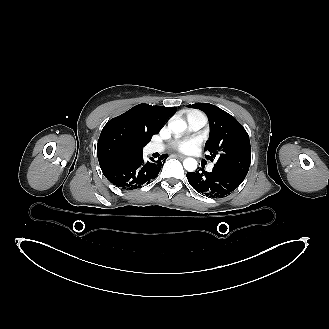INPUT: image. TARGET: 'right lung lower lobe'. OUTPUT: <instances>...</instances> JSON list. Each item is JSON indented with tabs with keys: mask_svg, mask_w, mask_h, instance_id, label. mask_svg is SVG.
Returning <instances> with one entry per match:
<instances>
[{
	"mask_svg": "<svg viewBox=\"0 0 329 329\" xmlns=\"http://www.w3.org/2000/svg\"><path fill=\"white\" fill-rule=\"evenodd\" d=\"M166 154L158 160L145 161L143 154L128 161L101 168L104 176L124 190H133L149 184L155 179L164 164Z\"/></svg>",
	"mask_w": 329,
	"mask_h": 329,
	"instance_id": "1",
	"label": "right lung lower lobe"
}]
</instances>
